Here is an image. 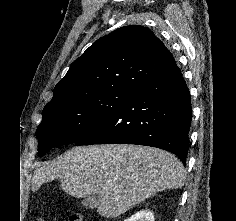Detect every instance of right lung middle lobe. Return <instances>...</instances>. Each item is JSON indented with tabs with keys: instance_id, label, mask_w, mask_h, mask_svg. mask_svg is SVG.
I'll use <instances>...</instances> for the list:
<instances>
[{
	"instance_id": "1",
	"label": "right lung middle lobe",
	"mask_w": 236,
	"mask_h": 221,
	"mask_svg": "<svg viewBox=\"0 0 236 221\" xmlns=\"http://www.w3.org/2000/svg\"><path fill=\"white\" fill-rule=\"evenodd\" d=\"M135 93L131 89H113L45 107L43 120L36 131L39 156L53 147L77 142Z\"/></svg>"
}]
</instances>
